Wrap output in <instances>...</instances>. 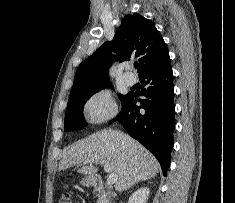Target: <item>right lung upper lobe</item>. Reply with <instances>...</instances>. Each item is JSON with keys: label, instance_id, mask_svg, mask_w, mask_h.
<instances>
[{"label": "right lung upper lobe", "instance_id": "cb5924a9", "mask_svg": "<svg viewBox=\"0 0 235 203\" xmlns=\"http://www.w3.org/2000/svg\"><path fill=\"white\" fill-rule=\"evenodd\" d=\"M112 51L119 55V62L129 60L132 55L139 57V76L169 58L167 46L154 23L140 14L127 15L113 40L105 42L79 65L71 93L108 82L109 67L114 62Z\"/></svg>", "mask_w": 235, "mask_h": 203}]
</instances>
